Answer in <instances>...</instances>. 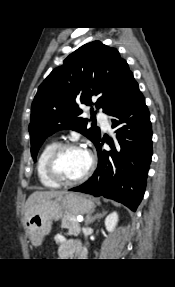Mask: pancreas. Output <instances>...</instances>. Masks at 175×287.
Listing matches in <instances>:
<instances>
[{"instance_id": "1", "label": "pancreas", "mask_w": 175, "mask_h": 287, "mask_svg": "<svg viewBox=\"0 0 175 287\" xmlns=\"http://www.w3.org/2000/svg\"><path fill=\"white\" fill-rule=\"evenodd\" d=\"M61 228L67 229L70 235L77 236L81 233L80 224L76 216L67 212L63 214Z\"/></svg>"}]
</instances>
